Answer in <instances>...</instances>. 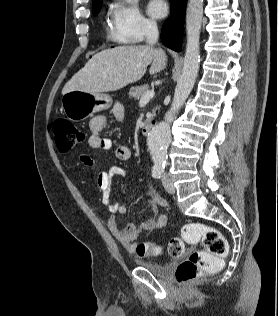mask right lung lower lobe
I'll use <instances>...</instances> for the list:
<instances>
[{"instance_id":"right-lung-lower-lobe-1","label":"right lung lower lobe","mask_w":278,"mask_h":316,"mask_svg":"<svg viewBox=\"0 0 278 316\" xmlns=\"http://www.w3.org/2000/svg\"><path fill=\"white\" fill-rule=\"evenodd\" d=\"M170 3L172 14L162 29L161 41L168 48L180 51L182 41L181 17L185 10L186 0H170Z\"/></svg>"}]
</instances>
